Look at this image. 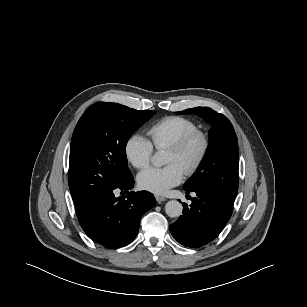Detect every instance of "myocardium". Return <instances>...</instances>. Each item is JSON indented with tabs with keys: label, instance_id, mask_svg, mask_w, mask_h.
<instances>
[{
	"label": "myocardium",
	"instance_id": "myocardium-1",
	"mask_svg": "<svg viewBox=\"0 0 307 307\" xmlns=\"http://www.w3.org/2000/svg\"><path fill=\"white\" fill-rule=\"evenodd\" d=\"M195 141L199 142L200 147L194 159L184 170V174L187 176L193 175L206 158L210 146L208 135L202 130L195 129L184 135L182 138L167 148L168 151L174 152L176 154H183L187 148Z\"/></svg>",
	"mask_w": 307,
	"mask_h": 307
}]
</instances>
